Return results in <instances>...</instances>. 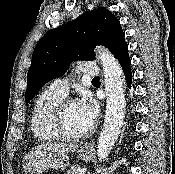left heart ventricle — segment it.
I'll use <instances>...</instances> for the list:
<instances>
[{
    "mask_svg": "<svg viewBox=\"0 0 175 174\" xmlns=\"http://www.w3.org/2000/svg\"><path fill=\"white\" fill-rule=\"evenodd\" d=\"M64 125L66 130L72 134L83 133L91 126L81 111L79 103L67 107L64 114Z\"/></svg>",
    "mask_w": 175,
    "mask_h": 174,
    "instance_id": "left-heart-ventricle-1",
    "label": "left heart ventricle"
}]
</instances>
